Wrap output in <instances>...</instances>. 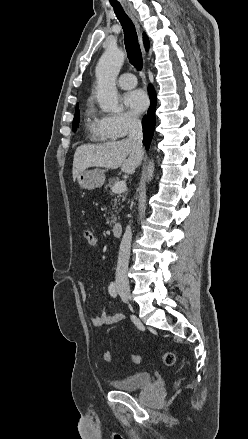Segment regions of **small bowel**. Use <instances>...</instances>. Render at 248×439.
Returning a JSON list of instances; mask_svg holds the SVG:
<instances>
[{"mask_svg":"<svg viewBox=\"0 0 248 439\" xmlns=\"http://www.w3.org/2000/svg\"><path fill=\"white\" fill-rule=\"evenodd\" d=\"M78 285H79L81 298L85 300L87 295H86L84 283L82 281H79ZM95 299L98 300L99 295H95ZM122 320H123V316L121 314H107L105 312V309L101 307L99 311L95 314V316L91 319V323L94 327L100 328V327L111 326Z\"/></svg>","mask_w":248,"mask_h":439,"instance_id":"1","label":"small bowel"}]
</instances>
